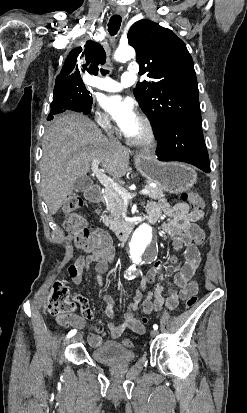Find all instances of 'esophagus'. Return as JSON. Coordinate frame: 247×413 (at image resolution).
I'll use <instances>...</instances> for the list:
<instances>
[{
	"instance_id": "esophagus-1",
	"label": "esophagus",
	"mask_w": 247,
	"mask_h": 413,
	"mask_svg": "<svg viewBox=\"0 0 247 413\" xmlns=\"http://www.w3.org/2000/svg\"><path fill=\"white\" fill-rule=\"evenodd\" d=\"M117 13H118V15H121V16H124L126 14V12H123V11H119ZM136 154H139V152H136Z\"/></svg>"
}]
</instances>
